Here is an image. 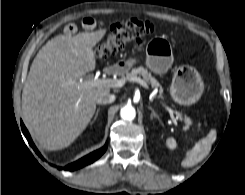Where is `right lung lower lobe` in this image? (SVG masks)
<instances>
[{"mask_svg":"<svg viewBox=\"0 0 245 195\" xmlns=\"http://www.w3.org/2000/svg\"><path fill=\"white\" fill-rule=\"evenodd\" d=\"M21 129H22V132L24 134V136L26 137L29 145L34 149V151L38 154L39 157H41L42 159H44L41 154L39 153V151L37 150L36 146L34 145L31 137H30V134L28 133L26 127L24 126L23 122L21 121ZM107 149V145H105L104 147L84 156L83 158L77 160L76 162H73L69 165H67L66 167L64 168H60L58 167V169H64V170H68V171H74V170H77V169H80L86 165H89L91 163H93L94 161H96Z\"/></svg>","mask_w":245,"mask_h":195,"instance_id":"right-lung-lower-lobe-1","label":"right lung lower lobe"}]
</instances>
